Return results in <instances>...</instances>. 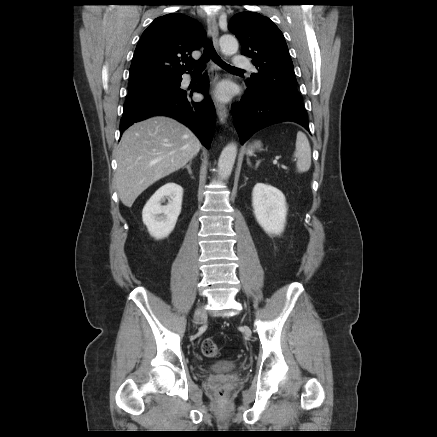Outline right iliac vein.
Here are the masks:
<instances>
[{
    "label": "right iliac vein",
    "instance_id": "63e3f726",
    "mask_svg": "<svg viewBox=\"0 0 437 437\" xmlns=\"http://www.w3.org/2000/svg\"><path fill=\"white\" fill-rule=\"evenodd\" d=\"M204 317V310L202 307L197 308L194 314L195 322L198 323Z\"/></svg>",
    "mask_w": 437,
    "mask_h": 437
}]
</instances>
